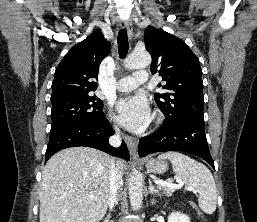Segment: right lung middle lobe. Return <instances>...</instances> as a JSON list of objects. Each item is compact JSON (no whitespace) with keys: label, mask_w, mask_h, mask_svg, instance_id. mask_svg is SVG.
<instances>
[{"label":"right lung middle lobe","mask_w":257,"mask_h":222,"mask_svg":"<svg viewBox=\"0 0 257 222\" xmlns=\"http://www.w3.org/2000/svg\"><path fill=\"white\" fill-rule=\"evenodd\" d=\"M51 129L69 123L94 124L103 121V102L95 95L52 100Z\"/></svg>","instance_id":"obj_1"}]
</instances>
